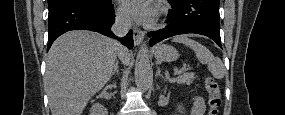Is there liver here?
I'll return each mask as SVG.
<instances>
[{
    "mask_svg": "<svg viewBox=\"0 0 285 115\" xmlns=\"http://www.w3.org/2000/svg\"><path fill=\"white\" fill-rule=\"evenodd\" d=\"M117 56L129 62V51L90 31H70L51 46L44 84L52 115H81L90 98L101 90Z\"/></svg>",
    "mask_w": 285,
    "mask_h": 115,
    "instance_id": "liver-1",
    "label": "liver"
}]
</instances>
